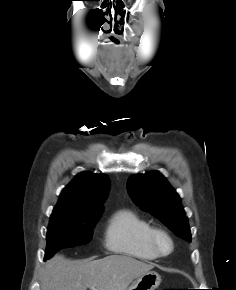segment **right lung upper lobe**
Instances as JSON below:
<instances>
[{
  "label": "right lung upper lobe",
  "mask_w": 236,
  "mask_h": 290,
  "mask_svg": "<svg viewBox=\"0 0 236 290\" xmlns=\"http://www.w3.org/2000/svg\"><path fill=\"white\" fill-rule=\"evenodd\" d=\"M110 188L105 174L82 172L62 191L52 215L84 216L102 211V202Z\"/></svg>",
  "instance_id": "obj_1"
}]
</instances>
